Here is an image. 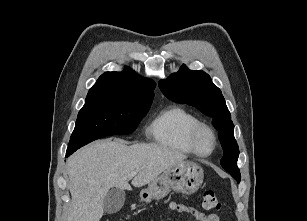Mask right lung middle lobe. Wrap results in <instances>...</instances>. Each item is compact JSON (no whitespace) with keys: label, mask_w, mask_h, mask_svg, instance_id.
I'll list each match as a JSON object with an SVG mask.
<instances>
[{"label":"right lung middle lobe","mask_w":307,"mask_h":221,"mask_svg":"<svg viewBox=\"0 0 307 221\" xmlns=\"http://www.w3.org/2000/svg\"><path fill=\"white\" fill-rule=\"evenodd\" d=\"M152 101L106 98L85 102L78 113L66 154L105 136L132 133Z\"/></svg>","instance_id":"1"}]
</instances>
